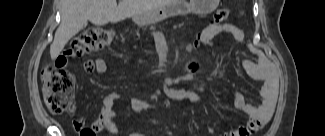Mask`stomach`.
I'll use <instances>...</instances> for the list:
<instances>
[{"label":"stomach","instance_id":"0dacf381","mask_svg":"<svg viewBox=\"0 0 325 136\" xmlns=\"http://www.w3.org/2000/svg\"><path fill=\"white\" fill-rule=\"evenodd\" d=\"M219 0H191L188 4L185 0H176L171 5H165L164 8H158L140 16H134V22L138 24H150L161 21L166 17L187 14L189 12L196 14H207L212 12L218 5Z\"/></svg>","mask_w":325,"mask_h":136}]
</instances>
